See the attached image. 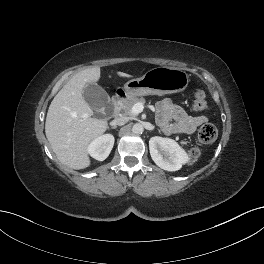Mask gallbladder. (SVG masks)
<instances>
[{"label": "gallbladder", "mask_w": 264, "mask_h": 264, "mask_svg": "<svg viewBox=\"0 0 264 264\" xmlns=\"http://www.w3.org/2000/svg\"><path fill=\"white\" fill-rule=\"evenodd\" d=\"M83 97L87 104L96 111L95 116L101 118L102 114L99 111L108 106L110 102L107 92L98 84L90 83L85 86Z\"/></svg>", "instance_id": "bac80fb5"}]
</instances>
